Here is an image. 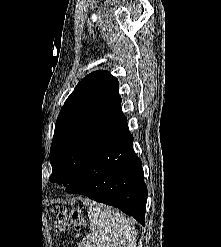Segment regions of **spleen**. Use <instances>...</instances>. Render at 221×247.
I'll use <instances>...</instances> for the list:
<instances>
[{"mask_svg": "<svg viewBox=\"0 0 221 247\" xmlns=\"http://www.w3.org/2000/svg\"><path fill=\"white\" fill-rule=\"evenodd\" d=\"M90 232L79 247H136L133 222L116 210L96 208L89 213Z\"/></svg>", "mask_w": 221, "mask_h": 247, "instance_id": "1", "label": "spleen"}]
</instances>
